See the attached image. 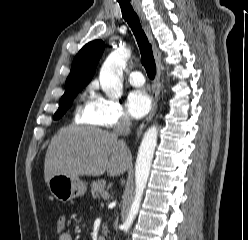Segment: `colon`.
<instances>
[{"label":"colon","instance_id":"obj_1","mask_svg":"<svg viewBox=\"0 0 248 240\" xmlns=\"http://www.w3.org/2000/svg\"><path fill=\"white\" fill-rule=\"evenodd\" d=\"M66 228V217L63 214H59L56 216L55 219V229L56 231L61 234L65 232Z\"/></svg>","mask_w":248,"mask_h":240}]
</instances>
